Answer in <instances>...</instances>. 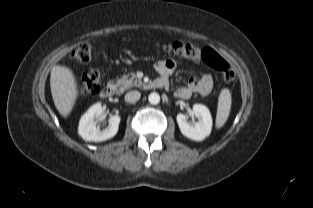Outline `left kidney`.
I'll return each instance as SVG.
<instances>
[{
  "mask_svg": "<svg viewBox=\"0 0 313 208\" xmlns=\"http://www.w3.org/2000/svg\"><path fill=\"white\" fill-rule=\"evenodd\" d=\"M193 113L198 122L190 125L184 114H178L176 119L181 133L189 139L201 141L210 135L212 129V117L209 109L201 104L193 106Z\"/></svg>",
  "mask_w": 313,
  "mask_h": 208,
  "instance_id": "5707ae66",
  "label": "left kidney"
}]
</instances>
